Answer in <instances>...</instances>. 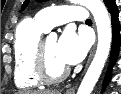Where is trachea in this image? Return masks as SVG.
Returning a JSON list of instances; mask_svg holds the SVG:
<instances>
[{"mask_svg":"<svg viewBox=\"0 0 121 94\" xmlns=\"http://www.w3.org/2000/svg\"><path fill=\"white\" fill-rule=\"evenodd\" d=\"M86 22H91V19H87Z\"/></svg>","mask_w":121,"mask_h":94,"instance_id":"1","label":"trachea"}]
</instances>
